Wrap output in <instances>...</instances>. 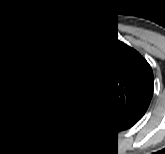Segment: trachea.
Returning a JSON list of instances; mask_svg holds the SVG:
<instances>
[{"label": "trachea", "instance_id": "1", "mask_svg": "<svg viewBox=\"0 0 165 154\" xmlns=\"http://www.w3.org/2000/svg\"><path fill=\"white\" fill-rule=\"evenodd\" d=\"M90 87L84 82V81H73L70 85H69V89L73 90V91H82L84 93H90Z\"/></svg>", "mask_w": 165, "mask_h": 154}]
</instances>
